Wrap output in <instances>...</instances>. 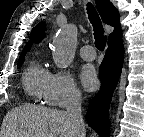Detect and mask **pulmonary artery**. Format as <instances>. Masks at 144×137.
<instances>
[{"label": "pulmonary artery", "instance_id": "obj_1", "mask_svg": "<svg viewBox=\"0 0 144 137\" xmlns=\"http://www.w3.org/2000/svg\"><path fill=\"white\" fill-rule=\"evenodd\" d=\"M80 56L87 61H93L96 58V51L91 45H84L80 48Z\"/></svg>", "mask_w": 144, "mask_h": 137}]
</instances>
